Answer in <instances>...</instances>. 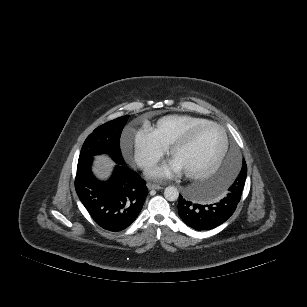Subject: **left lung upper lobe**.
Wrapping results in <instances>:
<instances>
[{
	"label": "left lung upper lobe",
	"mask_w": 307,
	"mask_h": 307,
	"mask_svg": "<svg viewBox=\"0 0 307 307\" xmlns=\"http://www.w3.org/2000/svg\"><path fill=\"white\" fill-rule=\"evenodd\" d=\"M246 175H247V166L243 161L242 169L239 175L237 176L236 180L228 190L231 192H236L237 194L241 195L245 184Z\"/></svg>",
	"instance_id": "1"
}]
</instances>
